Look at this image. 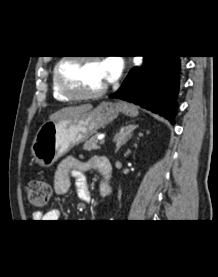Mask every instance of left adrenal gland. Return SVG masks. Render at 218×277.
Returning <instances> with one entry per match:
<instances>
[{
	"label": "left adrenal gland",
	"mask_w": 218,
	"mask_h": 277,
	"mask_svg": "<svg viewBox=\"0 0 218 277\" xmlns=\"http://www.w3.org/2000/svg\"><path fill=\"white\" fill-rule=\"evenodd\" d=\"M138 128V125H129L122 127L118 133L114 136L113 141L116 143V150L121 148L122 145L126 144L127 141L132 137L133 132ZM149 133V132H148Z\"/></svg>",
	"instance_id": "obj_1"
}]
</instances>
